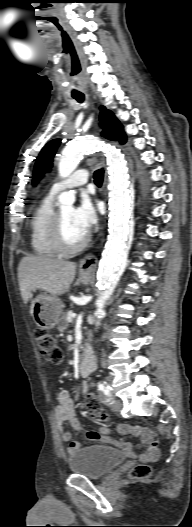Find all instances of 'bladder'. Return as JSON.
Listing matches in <instances>:
<instances>
[{
  "label": "bladder",
  "mask_w": 192,
  "mask_h": 527,
  "mask_svg": "<svg viewBox=\"0 0 192 527\" xmlns=\"http://www.w3.org/2000/svg\"><path fill=\"white\" fill-rule=\"evenodd\" d=\"M126 455L111 446L91 444L75 451L68 460L72 474L101 479L120 466Z\"/></svg>",
  "instance_id": "1"
}]
</instances>
